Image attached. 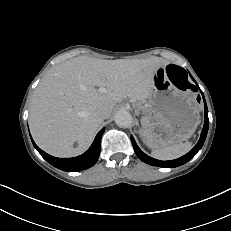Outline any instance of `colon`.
<instances>
[{"mask_svg":"<svg viewBox=\"0 0 231 231\" xmlns=\"http://www.w3.org/2000/svg\"><path fill=\"white\" fill-rule=\"evenodd\" d=\"M167 72L170 80L176 88L184 92H188L191 90L192 84L188 80L187 74L184 69L174 64H170L167 67Z\"/></svg>","mask_w":231,"mask_h":231,"instance_id":"colon-1","label":"colon"}]
</instances>
